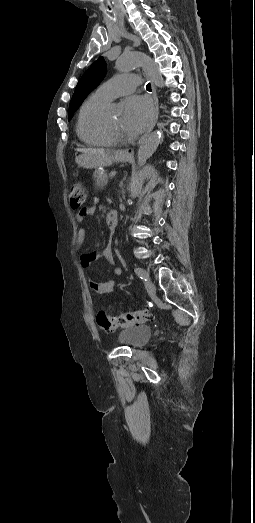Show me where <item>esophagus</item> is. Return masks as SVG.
<instances>
[{
  "mask_svg": "<svg viewBox=\"0 0 255 523\" xmlns=\"http://www.w3.org/2000/svg\"><path fill=\"white\" fill-rule=\"evenodd\" d=\"M151 87H152V96H153V102H154V107H155L154 116H153L152 123L150 124V126L148 127V129L146 130L144 135H142V137L138 140V142H137L138 144L142 143L143 140L145 139V137H147V135L153 130V128L155 127V124L157 122L158 116H159V103H158L156 88H155V85L153 84V82H151ZM122 153L127 156H133L134 149L132 147H127L123 150Z\"/></svg>",
  "mask_w": 255,
  "mask_h": 523,
  "instance_id": "obj_1",
  "label": "esophagus"
}]
</instances>
